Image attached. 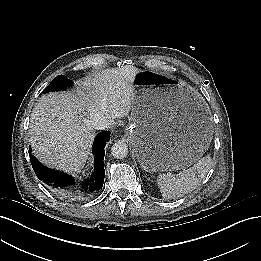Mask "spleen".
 Listing matches in <instances>:
<instances>
[{"instance_id": "spleen-1", "label": "spleen", "mask_w": 261, "mask_h": 261, "mask_svg": "<svg viewBox=\"0 0 261 261\" xmlns=\"http://www.w3.org/2000/svg\"><path fill=\"white\" fill-rule=\"evenodd\" d=\"M212 166L209 155L198 160L192 167L181 171L176 176L162 174L157 177V184L165 199L182 197L193 191Z\"/></svg>"}]
</instances>
